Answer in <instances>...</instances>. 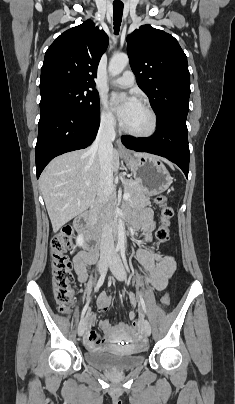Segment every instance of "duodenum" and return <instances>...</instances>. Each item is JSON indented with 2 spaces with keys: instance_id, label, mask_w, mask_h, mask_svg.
<instances>
[{
  "instance_id": "1",
  "label": "duodenum",
  "mask_w": 235,
  "mask_h": 404,
  "mask_svg": "<svg viewBox=\"0 0 235 404\" xmlns=\"http://www.w3.org/2000/svg\"><path fill=\"white\" fill-rule=\"evenodd\" d=\"M93 214L94 209L92 208L75 220V227L83 236L86 249L91 255L92 262L97 260L98 249L101 244V237L98 234V232L93 228L92 224Z\"/></svg>"
}]
</instances>
